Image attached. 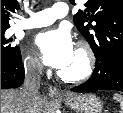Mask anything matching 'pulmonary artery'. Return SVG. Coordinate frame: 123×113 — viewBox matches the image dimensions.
<instances>
[{
  "label": "pulmonary artery",
  "mask_w": 123,
  "mask_h": 113,
  "mask_svg": "<svg viewBox=\"0 0 123 113\" xmlns=\"http://www.w3.org/2000/svg\"><path fill=\"white\" fill-rule=\"evenodd\" d=\"M29 13L30 17L17 25L19 28L31 29L50 25L56 19L65 17L68 14V6L66 3L57 2L48 9Z\"/></svg>",
  "instance_id": "1"
}]
</instances>
